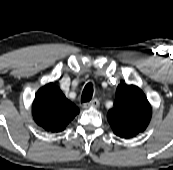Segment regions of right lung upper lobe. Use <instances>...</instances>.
<instances>
[{
  "instance_id": "1",
  "label": "right lung upper lobe",
  "mask_w": 173,
  "mask_h": 170,
  "mask_svg": "<svg viewBox=\"0 0 173 170\" xmlns=\"http://www.w3.org/2000/svg\"><path fill=\"white\" fill-rule=\"evenodd\" d=\"M79 113V109L69 101L62 91L48 83L37 93L32 105L35 122L47 132H60Z\"/></svg>"
}]
</instances>
